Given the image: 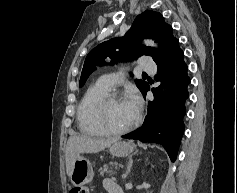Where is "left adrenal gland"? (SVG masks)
I'll use <instances>...</instances> for the list:
<instances>
[{
	"label": "left adrenal gland",
	"instance_id": "obj_1",
	"mask_svg": "<svg viewBox=\"0 0 237 193\" xmlns=\"http://www.w3.org/2000/svg\"><path fill=\"white\" fill-rule=\"evenodd\" d=\"M137 152H135L136 154ZM132 165H133V159H132V156L129 157V161L127 163V169H126V172L122 175V178L123 179H126L127 176L129 175L130 171H131V168H132Z\"/></svg>",
	"mask_w": 237,
	"mask_h": 193
}]
</instances>
